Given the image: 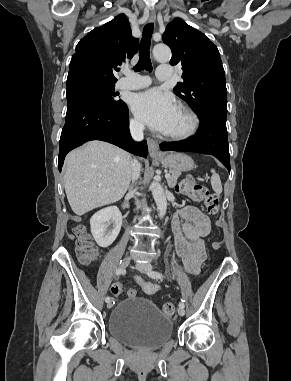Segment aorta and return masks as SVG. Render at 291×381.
I'll use <instances>...</instances> for the list:
<instances>
[{"label": "aorta", "mask_w": 291, "mask_h": 381, "mask_svg": "<svg viewBox=\"0 0 291 381\" xmlns=\"http://www.w3.org/2000/svg\"><path fill=\"white\" fill-rule=\"evenodd\" d=\"M153 55L158 61H167L171 58V50L167 45L158 44L153 48ZM151 190L157 205L158 215L162 218L167 210V199L164 190L160 183L155 181L151 183Z\"/></svg>", "instance_id": "aorta-1"}]
</instances>
